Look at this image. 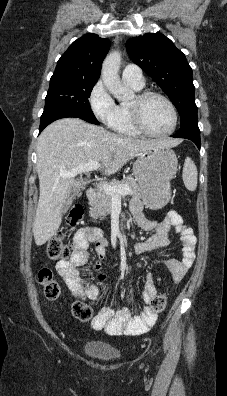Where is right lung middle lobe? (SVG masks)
Here are the masks:
<instances>
[{"label":"right lung middle lobe","mask_w":227,"mask_h":396,"mask_svg":"<svg viewBox=\"0 0 227 396\" xmlns=\"http://www.w3.org/2000/svg\"><path fill=\"white\" fill-rule=\"evenodd\" d=\"M97 80L53 74L45 99L43 114L58 110H69L82 116L85 121L99 124L90 106L91 91Z\"/></svg>","instance_id":"right-lung-middle-lobe-1"}]
</instances>
